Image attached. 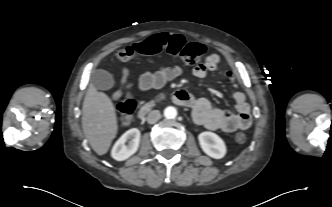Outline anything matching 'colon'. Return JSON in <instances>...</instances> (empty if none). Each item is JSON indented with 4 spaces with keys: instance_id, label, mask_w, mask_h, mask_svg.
<instances>
[{
    "instance_id": "1",
    "label": "colon",
    "mask_w": 332,
    "mask_h": 207,
    "mask_svg": "<svg viewBox=\"0 0 332 207\" xmlns=\"http://www.w3.org/2000/svg\"><path fill=\"white\" fill-rule=\"evenodd\" d=\"M161 51L179 57L189 65L196 64L204 54V47L200 43L187 42L179 34H157L147 40L121 48L117 51L115 57L120 61H126L136 56L153 55ZM128 87V86H127ZM114 100H122L120 103V124L122 127H128L131 124L133 114L136 110V103L130 95L124 97L122 89L113 94ZM237 143H244L246 136L244 133L235 135Z\"/></svg>"
}]
</instances>
